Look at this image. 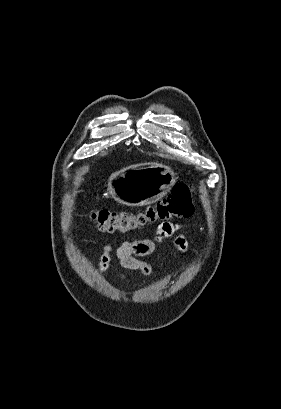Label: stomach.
<instances>
[{
  "instance_id": "stomach-1",
  "label": "stomach",
  "mask_w": 281,
  "mask_h": 409,
  "mask_svg": "<svg viewBox=\"0 0 281 409\" xmlns=\"http://www.w3.org/2000/svg\"><path fill=\"white\" fill-rule=\"evenodd\" d=\"M177 178L174 170L166 164L141 162L113 172L107 190L121 205L144 207L170 192Z\"/></svg>"
}]
</instances>
